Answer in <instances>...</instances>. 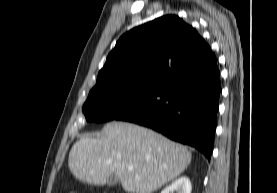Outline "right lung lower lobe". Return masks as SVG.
Returning a JSON list of instances; mask_svg holds the SVG:
<instances>
[{"label": "right lung lower lobe", "instance_id": "obj_1", "mask_svg": "<svg viewBox=\"0 0 277 193\" xmlns=\"http://www.w3.org/2000/svg\"><path fill=\"white\" fill-rule=\"evenodd\" d=\"M220 91V72L213 54L204 63L167 80L118 120L152 128L195 147L210 160Z\"/></svg>", "mask_w": 277, "mask_h": 193}]
</instances>
